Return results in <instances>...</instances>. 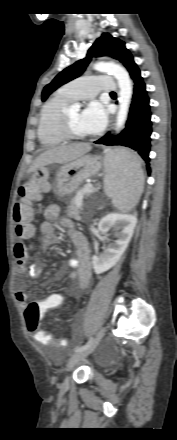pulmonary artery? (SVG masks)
Masks as SVG:
<instances>
[{"label":"pulmonary artery","mask_w":177,"mask_h":440,"mask_svg":"<svg viewBox=\"0 0 177 440\" xmlns=\"http://www.w3.org/2000/svg\"><path fill=\"white\" fill-rule=\"evenodd\" d=\"M74 100L95 97L99 92H111L116 89L114 78L109 75H90L75 79L62 87Z\"/></svg>","instance_id":"pulmonary-artery-1"}]
</instances>
